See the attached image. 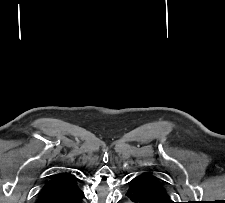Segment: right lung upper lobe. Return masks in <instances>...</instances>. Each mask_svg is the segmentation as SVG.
<instances>
[{"label": "right lung upper lobe", "mask_w": 225, "mask_h": 203, "mask_svg": "<svg viewBox=\"0 0 225 203\" xmlns=\"http://www.w3.org/2000/svg\"><path fill=\"white\" fill-rule=\"evenodd\" d=\"M80 191H82L80 189V179L70 172H63L54 175L53 178L45 184L41 196L54 198L69 197Z\"/></svg>", "instance_id": "cb5924a9"}]
</instances>
